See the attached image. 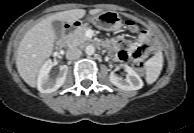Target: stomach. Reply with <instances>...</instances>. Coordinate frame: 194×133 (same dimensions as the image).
I'll return each mask as SVG.
<instances>
[{
    "label": "stomach",
    "mask_w": 194,
    "mask_h": 133,
    "mask_svg": "<svg viewBox=\"0 0 194 133\" xmlns=\"http://www.w3.org/2000/svg\"><path fill=\"white\" fill-rule=\"evenodd\" d=\"M96 27L106 31H115L121 28L122 20L118 13L114 11H103L101 13L91 15L88 19Z\"/></svg>",
    "instance_id": "stomach-1"
}]
</instances>
